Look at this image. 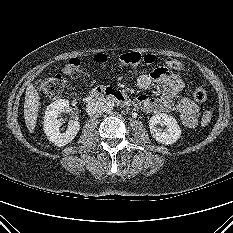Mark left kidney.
I'll use <instances>...</instances> for the list:
<instances>
[{
    "mask_svg": "<svg viewBox=\"0 0 233 233\" xmlns=\"http://www.w3.org/2000/svg\"><path fill=\"white\" fill-rule=\"evenodd\" d=\"M166 126L163 130L157 126ZM149 128L152 137L165 145L174 144L181 136V129L174 117L160 113L152 116L149 120Z\"/></svg>",
    "mask_w": 233,
    "mask_h": 233,
    "instance_id": "5707ae66",
    "label": "left kidney"
}]
</instances>
